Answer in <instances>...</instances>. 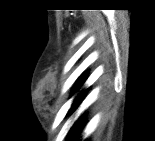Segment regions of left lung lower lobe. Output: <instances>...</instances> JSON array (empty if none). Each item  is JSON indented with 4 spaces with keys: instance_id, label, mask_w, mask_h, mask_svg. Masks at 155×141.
I'll list each match as a JSON object with an SVG mask.
<instances>
[{
    "instance_id": "0a47b994",
    "label": "left lung lower lobe",
    "mask_w": 155,
    "mask_h": 141,
    "mask_svg": "<svg viewBox=\"0 0 155 141\" xmlns=\"http://www.w3.org/2000/svg\"><path fill=\"white\" fill-rule=\"evenodd\" d=\"M88 92V89L82 93V95L74 102V104L72 105V108L75 110L79 104L82 102V100L84 99V97L86 96ZM83 124H82V120H80L79 122L76 123V126L71 130V135L69 136L71 139H76L79 135V131L82 128Z\"/></svg>"
}]
</instances>
